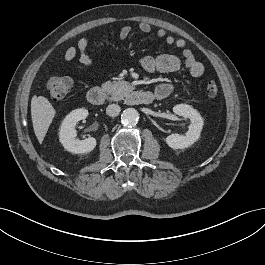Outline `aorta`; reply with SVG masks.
<instances>
[{
    "instance_id": "762f6f07",
    "label": "aorta",
    "mask_w": 265,
    "mask_h": 265,
    "mask_svg": "<svg viewBox=\"0 0 265 265\" xmlns=\"http://www.w3.org/2000/svg\"><path fill=\"white\" fill-rule=\"evenodd\" d=\"M139 118L138 111L134 108H127L123 111L122 122L125 125L133 126L137 123Z\"/></svg>"
}]
</instances>
